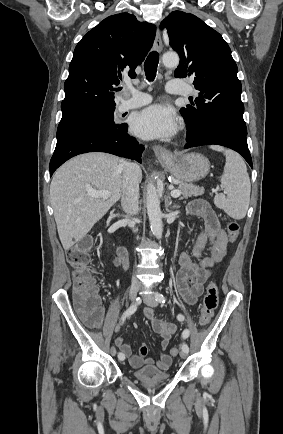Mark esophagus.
I'll return each instance as SVG.
<instances>
[{"label":"esophagus","mask_w":283,"mask_h":434,"mask_svg":"<svg viewBox=\"0 0 283 434\" xmlns=\"http://www.w3.org/2000/svg\"><path fill=\"white\" fill-rule=\"evenodd\" d=\"M155 48L157 51L161 52L162 48H163V44H162V39H161V35L159 32V29H157L156 31V37H155ZM155 155L157 156V158L162 161V162H167L173 159V153L166 149L165 147H162L160 145H155L153 147Z\"/></svg>","instance_id":"1"}]
</instances>
